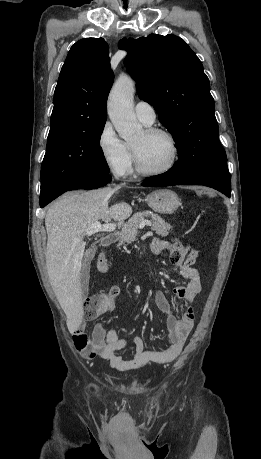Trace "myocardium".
Instances as JSON below:
<instances>
[{
  "label": "myocardium",
  "mask_w": 261,
  "mask_h": 459,
  "mask_svg": "<svg viewBox=\"0 0 261 459\" xmlns=\"http://www.w3.org/2000/svg\"><path fill=\"white\" fill-rule=\"evenodd\" d=\"M144 132L148 135L160 134L168 138L172 148L171 159L169 163L160 169H146L142 166L136 149L131 145V152L134 160L136 171L143 176H157L169 172L176 164L179 155L178 143L175 136L168 130L160 127H147Z\"/></svg>",
  "instance_id": "f54148a6"
}]
</instances>
